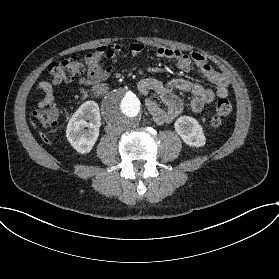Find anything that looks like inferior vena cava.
Returning <instances> with one entry per match:
<instances>
[{
	"instance_id": "602c4592",
	"label": "inferior vena cava",
	"mask_w": 279,
	"mask_h": 279,
	"mask_svg": "<svg viewBox=\"0 0 279 279\" xmlns=\"http://www.w3.org/2000/svg\"><path fill=\"white\" fill-rule=\"evenodd\" d=\"M105 131L107 134L112 135V136H118L122 134V129L119 127H113L111 125H107L105 127Z\"/></svg>"
}]
</instances>
